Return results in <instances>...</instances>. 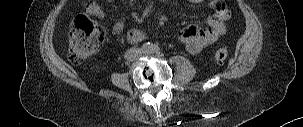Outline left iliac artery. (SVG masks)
Here are the masks:
<instances>
[{
    "instance_id": "left-iliac-artery-1",
    "label": "left iliac artery",
    "mask_w": 303,
    "mask_h": 127,
    "mask_svg": "<svg viewBox=\"0 0 303 127\" xmlns=\"http://www.w3.org/2000/svg\"><path fill=\"white\" fill-rule=\"evenodd\" d=\"M144 47H145V50H146V53L147 54H152V53H160V51H161V49H160V47L159 46H157V45H155V44H153V43H146L145 45H144Z\"/></svg>"
}]
</instances>
